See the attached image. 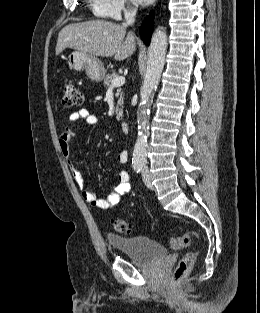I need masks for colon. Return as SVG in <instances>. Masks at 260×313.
Instances as JSON below:
<instances>
[{
  "mask_svg": "<svg viewBox=\"0 0 260 313\" xmlns=\"http://www.w3.org/2000/svg\"><path fill=\"white\" fill-rule=\"evenodd\" d=\"M82 103V94L78 86L73 82H68L63 88V104L66 107L78 106ZM112 225L116 232L120 234H131L133 227L130 223L122 219H113ZM192 238L199 239V234L196 231H187L184 234L172 237L170 239V246L173 249H182L188 247L191 243ZM198 250L188 251L178 262L175 269L172 282L177 284L179 281L184 279L192 270L193 265L198 257Z\"/></svg>",
  "mask_w": 260,
  "mask_h": 313,
  "instance_id": "1",
  "label": "colon"
}]
</instances>
